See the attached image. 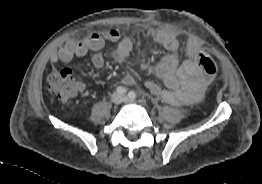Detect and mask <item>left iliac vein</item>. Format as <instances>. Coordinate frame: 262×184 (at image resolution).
Instances as JSON below:
<instances>
[{
  "label": "left iliac vein",
  "mask_w": 262,
  "mask_h": 184,
  "mask_svg": "<svg viewBox=\"0 0 262 184\" xmlns=\"http://www.w3.org/2000/svg\"><path fill=\"white\" fill-rule=\"evenodd\" d=\"M122 99H123L124 102H134V99H131V98L126 97V96H123Z\"/></svg>",
  "instance_id": "4c4485c4"
}]
</instances>
